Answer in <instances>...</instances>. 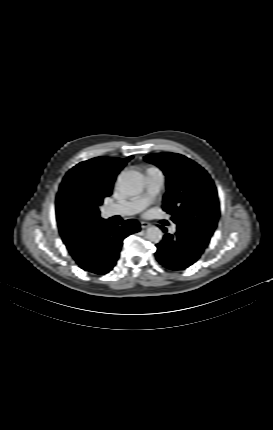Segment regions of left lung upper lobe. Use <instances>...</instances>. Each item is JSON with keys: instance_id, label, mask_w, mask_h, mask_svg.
<instances>
[{"instance_id": "5c2ea615", "label": "left lung upper lobe", "mask_w": 273, "mask_h": 430, "mask_svg": "<svg viewBox=\"0 0 273 430\" xmlns=\"http://www.w3.org/2000/svg\"><path fill=\"white\" fill-rule=\"evenodd\" d=\"M144 159L166 175L163 210L177 228L207 247L219 218V200L214 182L193 160L176 153H158Z\"/></svg>"}]
</instances>
